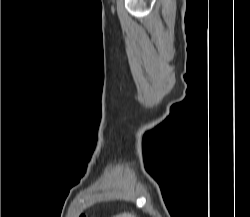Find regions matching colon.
Listing matches in <instances>:
<instances>
[{
  "instance_id": "1",
  "label": "colon",
  "mask_w": 250,
  "mask_h": 217,
  "mask_svg": "<svg viewBox=\"0 0 250 217\" xmlns=\"http://www.w3.org/2000/svg\"><path fill=\"white\" fill-rule=\"evenodd\" d=\"M80 217H86L85 215H81Z\"/></svg>"
}]
</instances>
